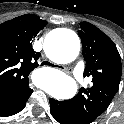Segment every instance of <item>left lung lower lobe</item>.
I'll return each instance as SVG.
<instances>
[{"label":"left lung lower lobe","instance_id":"left-lung-lower-lobe-1","mask_svg":"<svg viewBox=\"0 0 124 124\" xmlns=\"http://www.w3.org/2000/svg\"><path fill=\"white\" fill-rule=\"evenodd\" d=\"M49 102H50V112L52 116L60 124H76L72 119V115L67 100L58 101L51 98Z\"/></svg>","mask_w":124,"mask_h":124}]
</instances>
